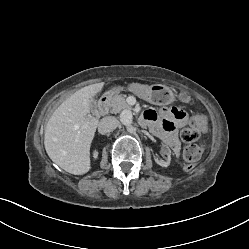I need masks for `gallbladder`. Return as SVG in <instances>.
<instances>
[{
    "mask_svg": "<svg viewBox=\"0 0 249 249\" xmlns=\"http://www.w3.org/2000/svg\"><path fill=\"white\" fill-rule=\"evenodd\" d=\"M91 108H92V109H95V108H96V101H95L94 99H92Z\"/></svg>",
    "mask_w": 249,
    "mask_h": 249,
    "instance_id": "1",
    "label": "gallbladder"
}]
</instances>
